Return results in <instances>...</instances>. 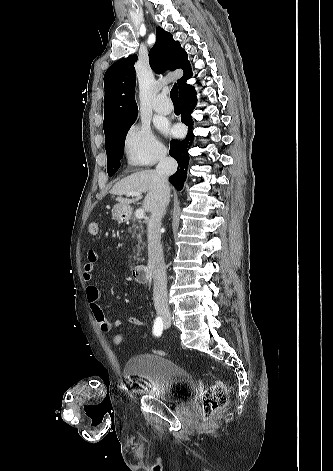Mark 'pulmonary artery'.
<instances>
[{
    "label": "pulmonary artery",
    "instance_id": "1",
    "mask_svg": "<svg viewBox=\"0 0 333 471\" xmlns=\"http://www.w3.org/2000/svg\"><path fill=\"white\" fill-rule=\"evenodd\" d=\"M154 110L160 114H169L173 110V105L166 94H159L154 101Z\"/></svg>",
    "mask_w": 333,
    "mask_h": 471
}]
</instances>
